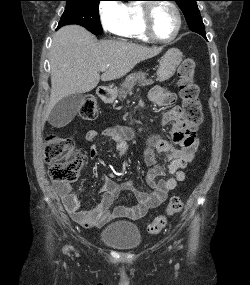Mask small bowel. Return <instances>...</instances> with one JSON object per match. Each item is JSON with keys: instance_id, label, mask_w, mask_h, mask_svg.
Wrapping results in <instances>:
<instances>
[{"instance_id": "small-bowel-1", "label": "small bowel", "mask_w": 250, "mask_h": 285, "mask_svg": "<svg viewBox=\"0 0 250 285\" xmlns=\"http://www.w3.org/2000/svg\"><path fill=\"white\" fill-rule=\"evenodd\" d=\"M149 99L158 106L166 107L173 103L175 96L162 87H155L150 91ZM160 123L171 125L169 134L172 142L155 134L150 135L147 139L145 163L149 166V170L146 175V184L151 189L150 192L136 189L130 181L118 187L111 178L102 176L101 200L93 210L86 211L81 209V202L72 192L69 183L58 182L56 184V190L63 205L75 222L83 227L91 228L102 227L117 218L141 219L150 209L158 207L166 199L168 192L174 190L179 182L185 180L184 169L193 159L198 145L195 133L187 130L179 106L166 112L161 117ZM99 134L97 130L92 129L87 131L85 138L87 141L93 142ZM102 134L110 138L117 153L124 156L128 152L127 142L133 139L137 132L132 127L117 126L105 129ZM89 154L91 158L97 157L98 148L96 145L90 146ZM160 156H165L168 160L167 170L170 177L166 179H159L165 175L164 168L157 164V159ZM121 190L133 193L137 204L134 206H113V202Z\"/></svg>"}]
</instances>
